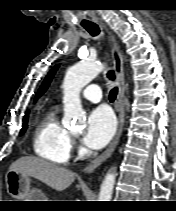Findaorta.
I'll return each mask as SVG.
<instances>
[{"mask_svg": "<svg viewBox=\"0 0 176 211\" xmlns=\"http://www.w3.org/2000/svg\"><path fill=\"white\" fill-rule=\"evenodd\" d=\"M104 66L98 62L84 61L70 67L65 75L64 88V117L63 123L77 129L85 127L86 118L82 109L79 93L91 82ZM115 184L114 172H108L101 184L98 201H111Z\"/></svg>", "mask_w": 176, "mask_h": 211, "instance_id": "1", "label": "aorta"}]
</instances>
